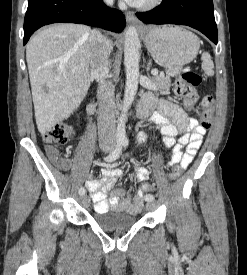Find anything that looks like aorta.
Instances as JSON below:
<instances>
[{
    "mask_svg": "<svg viewBox=\"0 0 247 275\" xmlns=\"http://www.w3.org/2000/svg\"><path fill=\"white\" fill-rule=\"evenodd\" d=\"M140 41L134 26L127 28L124 40V65L126 70V85L123 99V108L117 123V138L126 139L125 122L128 110L135 98L139 81Z\"/></svg>",
    "mask_w": 247,
    "mask_h": 275,
    "instance_id": "aorta-1",
    "label": "aorta"
}]
</instances>
